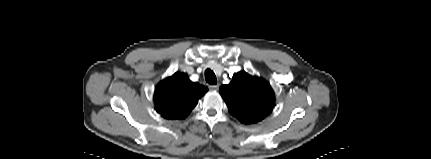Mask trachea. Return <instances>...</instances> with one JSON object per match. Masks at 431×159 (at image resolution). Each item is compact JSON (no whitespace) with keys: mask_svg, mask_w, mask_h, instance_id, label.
I'll return each mask as SVG.
<instances>
[{"mask_svg":"<svg viewBox=\"0 0 431 159\" xmlns=\"http://www.w3.org/2000/svg\"><path fill=\"white\" fill-rule=\"evenodd\" d=\"M205 79H206V82L211 84V85L217 84L216 75L211 69L205 70Z\"/></svg>","mask_w":431,"mask_h":159,"instance_id":"trachea-1","label":"trachea"}]
</instances>
